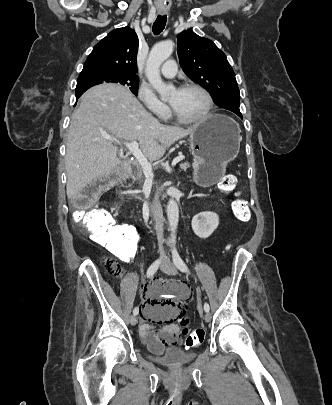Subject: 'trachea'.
<instances>
[{"label":"trachea","instance_id":"obj_1","mask_svg":"<svg viewBox=\"0 0 332 405\" xmlns=\"http://www.w3.org/2000/svg\"><path fill=\"white\" fill-rule=\"evenodd\" d=\"M167 21V15H158L157 19L153 23V33L155 35L160 34L165 28Z\"/></svg>","mask_w":332,"mask_h":405}]
</instances>
